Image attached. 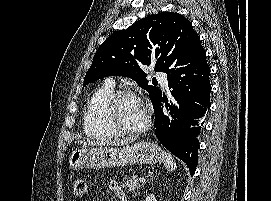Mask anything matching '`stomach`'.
<instances>
[{
	"instance_id": "1",
	"label": "stomach",
	"mask_w": 271,
	"mask_h": 201,
	"mask_svg": "<svg viewBox=\"0 0 271 201\" xmlns=\"http://www.w3.org/2000/svg\"><path fill=\"white\" fill-rule=\"evenodd\" d=\"M163 151L151 142H137L123 148L83 147L72 151L68 158L71 171L83 168L101 169L128 165L155 164L162 160Z\"/></svg>"
}]
</instances>
